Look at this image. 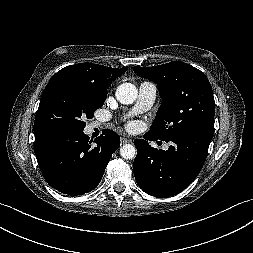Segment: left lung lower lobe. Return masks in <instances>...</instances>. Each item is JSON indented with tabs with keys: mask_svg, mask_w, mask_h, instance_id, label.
Masks as SVG:
<instances>
[{
	"mask_svg": "<svg viewBox=\"0 0 253 253\" xmlns=\"http://www.w3.org/2000/svg\"><path fill=\"white\" fill-rule=\"evenodd\" d=\"M212 135L193 132L165 140L173 144L167 151L152 148L149 134L135 139L137 148L133 169L138 186L153 196H172L187 188L197 177L207 156Z\"/></svg>",
	"mask_w": 253,
	"mask_h": 253,
	"instance_id": "1",
	"label": "left lung lower lobe"
}]
</instances>
